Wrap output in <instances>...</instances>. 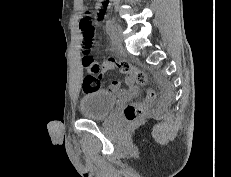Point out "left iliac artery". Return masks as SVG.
Returning a JSON list of instances; mask_svg holds the SVG:
<instances>
[{
	"label": "left iliac artery",
	"mask_w": 231,
	"mask_h": 177,
	"mask_svg": "<svg viewBox=\"0 0 231 177\" xmlns=\"http://www.w3.org/2000/svg\"><path fill=\"white\" fill-rule=\"evenodd\" d=\"M112 29H113V21L108 18L106 21V31L109 35L112 34Z\"/></svg>",
	"instance_id": "obj_1"
}]
</instances>
